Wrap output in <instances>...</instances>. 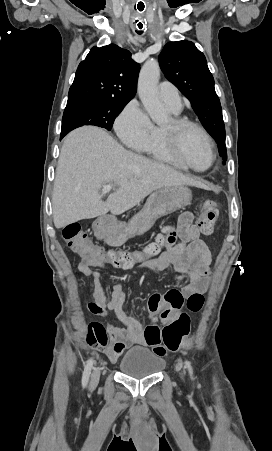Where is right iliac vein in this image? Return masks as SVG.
<instances>
[{"label":"right iliac vein","instance_id":"1","mask_svg":"<svg viewBox=\"0 0 272 451\" xmlns=\"http://www.w3.org/2000/svg\"><path fill=\"white\" fill-rule=\"evenodd\" d=\"M100 369L97 367L91 374L90 388L93 389L99 382Z\"/></svg>","mask_w":272,"mask_h":451}]
</instances>
